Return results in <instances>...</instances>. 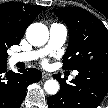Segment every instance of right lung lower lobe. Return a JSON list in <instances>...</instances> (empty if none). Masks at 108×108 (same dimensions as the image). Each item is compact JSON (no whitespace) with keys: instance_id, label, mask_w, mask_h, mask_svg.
<instances>
[{"instance_id":"obj_1","label":"right lung lower lobe","mask_w":108,"mask_h":108,"mask_svg":"<svg viewBox=\"0 0 108 108\" xmlns=\"http://www.w3.org/2000/svg\"><path fill=\"white\" fill-rule=\"evenodd\" d=\"M7 64H0V108H19L29 84L41 80L38 69L27 68L19 73L6 70Z\"/></svg>"}]
</instances>
